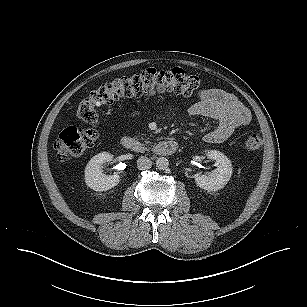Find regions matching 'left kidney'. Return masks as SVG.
<instances>
[{
  "mask_svg": "<svg viewBox=\"0 0 307 307\" xmlns=\"http://www.w3.org/2000/svg\"><path fill=\"white\" fill-rule=\"evenodd\" d=\"M208 159L215 160L217 168L209 176L197 174V186L207 191H217L223 188L231 178L232 164L223 153L216 150L207 151Z\"/></svg>",
  "mask_w": 307,
  "mask_h": 307,
  "instance_id": "5707ae66",
  "label": "left kidney"
}]
</instances>
